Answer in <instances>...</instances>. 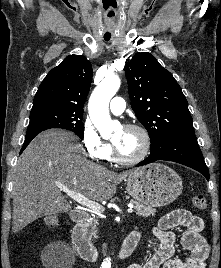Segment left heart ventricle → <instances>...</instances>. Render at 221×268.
Listing matches in <instances>:
<instances>
[{"label": "left heart ventricle", "instance_id": "1", "mask_svg": "<svg viewBox=\"0 0 221 268\" xmlns=\"http://www.w3.org/2000/svg\"><path fill=\"white\" fill-rule=\"evenodd\" d=\"M120 154L125 158L136 157L143 148V137L136 130L119 129L112 138Z\"/></svg>", "mask_w": 221, "mask_h": 268}]
</instances>
